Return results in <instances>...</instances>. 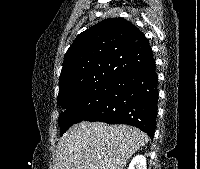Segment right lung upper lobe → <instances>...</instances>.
Wrapping results in <instances>:
<instances>
[{
  "label": "right lung upper lobe",
  "instance_id": "1",
  "mask_svg": "<svg viewBox=\"0 0 200 169\" xmlns=\"http://www.w3.org/2000/svg\"><path fill=\"white\" fill-rule=\"evenodd\" d=\"M155 63L144 34L123 18H108L80 33L67 50L58 100L104 79L120 77Z\"/></svg>",
  "mask_w": 200,
  "mask_h": 169
}]
</instances>
